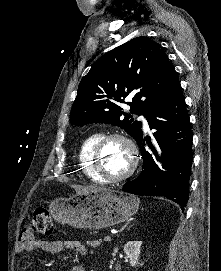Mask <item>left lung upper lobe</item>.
<instances>
[{
	"label": "left lung upper lobe",
	"mask_w": 221,
	"mask_h": 271,
	"mask_svg": "<svg viewBox=\"0 0 221 271\" xmlns=\"http://www.w3.org/2000/svg\"><path fill=\"white\" fill-rule=\"evenodd\" d=\"M180 85L175 70L158 43L137 37L98 59L82 78L71 109V122L109 123L138 139L141 122L123 112L119 103L132 97L130 112L146 118ZM126 116L124 119L121 116ZM131 118V119H130Z\"/></svg>",
	"instance_id": "5c2ea615"
}]
</instances>
